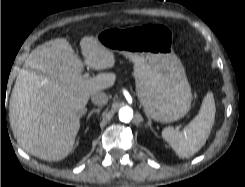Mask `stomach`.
Segmentation results:
<instances>
[{
    "label": "stomach",
    "mask_w": 245,
    "mask_h": 187,
    "mask_svg": "<svg viewBox=\"0 0 245 187\" xmlns=\"http://www.w3.org/2000/svg\"><path fill=\"white\" fill-rule=\"evenodd\" d=\"M172 37L170 29L159 24L110 28L95 37L102 46L133 62L137 97L146 115L161 123L184 117L192 101Z\"/></svg>",
    "instance_id": "obj_1"
}]
</instances>
